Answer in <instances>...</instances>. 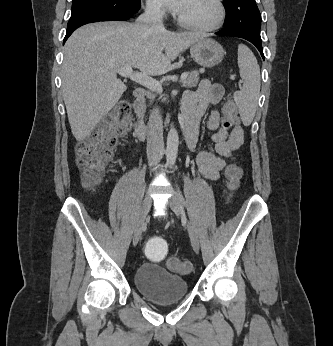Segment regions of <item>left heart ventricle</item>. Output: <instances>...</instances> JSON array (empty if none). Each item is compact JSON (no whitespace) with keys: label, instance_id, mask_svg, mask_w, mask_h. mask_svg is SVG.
Returning a JSON list of instances; mask_svg holds the SVG:
<instances>
[{"label":"left heart ventricle","instance_id":"b2bd125f","mask_svg":"<svg viewBox=\"0 0 333 346\" xmlns=\"http://www.w3.org/2000/svg\"><path fill=\"white\" fill-rule=\"evenodd\" d=\"M179 15L191 22L207 25L215 20L217 10L213 0H189Z\"/></svg>","mask_w":333,"mask_h":346}]
</instances>
